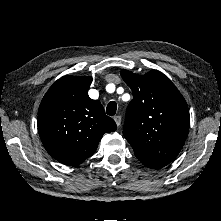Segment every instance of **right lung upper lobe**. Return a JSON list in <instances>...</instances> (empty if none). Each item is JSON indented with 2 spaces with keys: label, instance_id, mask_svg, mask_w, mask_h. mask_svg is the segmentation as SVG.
I'll return each instance as SVG.
<instances>
[{
  "label": "right lung upper lobe",
  "instance_id": "obj_1",
  "mask_svg": "<svg viewBox=\"0 0 221 221\" xmlns=\"http://www.w3.org/2000/svg\"><path fill=\"white\" fill-rule=\"evenodd\" d=\"M91 77L64 76L45 94L38 110V132L47 152L76 166L94 154L106 132L117 129L100 101L88 96Z\"/></svg>",
  "mask_w": 221,
  "mask_h": 221
}]
</instances>
